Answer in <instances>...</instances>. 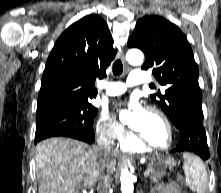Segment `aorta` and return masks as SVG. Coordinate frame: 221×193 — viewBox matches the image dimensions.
<instances>
[{
  "instance_id": "762f6f07",
  "label": "aorta",
  "mask_w": 221,
  "mask_h": 193,
  "mask_svg": "<svg viewBox=\"0 0 221 193\" xmlns=\"http://www.w3.org/2000/svg\"><path fill=\"white\" fill-rule=\"evenodd\" d=\"M126 59L130 65L139 66L143 63L144 55L142 51L139 49H131L126 54ZM129 112L127 110H121L120 112V120L123 119L124 116L128 115ZM121 182V191L122 193H133L134 191V177L132 174L125 168L121 172L120 176Z\"/></svg>"
}]
</instances>
